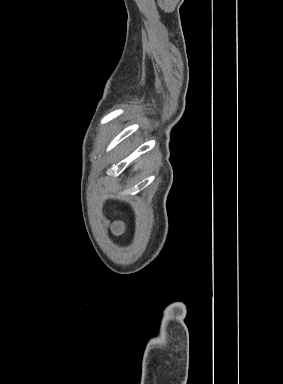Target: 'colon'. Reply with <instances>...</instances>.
I'll list each match as a JSON object with an SVG mask.
<instances>
[{
  "label": "colon",
  "mask_w": 283,
  "mask_h": 384,
  "mask_svg": "<svg viewBox=\"0 0 283 384\" xmlns=\"http://www.w3.org/2000/svg\"><path fill=\"white\" fill-rule=\"evenodd\" d=\"M121 230V228L120 227H118V231H120Z\"/></svg>",
  "instance_id": "colon-1"
}]
</instances>
